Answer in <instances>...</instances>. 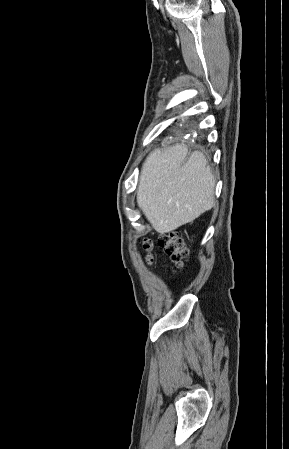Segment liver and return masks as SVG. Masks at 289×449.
<instances>
[{
	"label": "liver",
	"instance_id": "obj_1",
	"mask_svg": "<svg viewBox=\"0 0 289 449\" xmlns=\"http://www.w3.org/2000/svg\"><path fill=\"white\" fill-rule=\"evenodd\" d=\"M188 148H157L146 158L137 204L152 227L165 234L193 222L214 205L215 179L201 152L186 160Z\"/></svg>",
	"mask_w": 289,
	"mask_h": 449
}]
</instances>
